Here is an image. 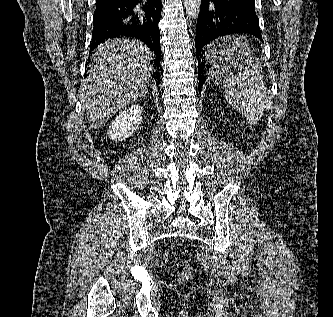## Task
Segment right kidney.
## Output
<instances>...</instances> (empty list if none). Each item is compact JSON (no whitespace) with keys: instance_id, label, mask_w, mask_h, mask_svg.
Returning <instances> with one entry per match:
<instances>
[{"instance_id":"ca27d5eb","label":"right kidney","mask_w":333,"mask_h":317,"mask_svg":"<svg viewBox=\"0 0 333 317\" xmlns=\"http://www.w3.org/2000/svg\"><path fill=\"white\" fill-rule=\"evenodd\" d=\"M141 121L142 107L138 104L131 105L121 111L112 121L109 126L108 137L115 141H123L136 132Z\"/></svg>"}]
</instances>
